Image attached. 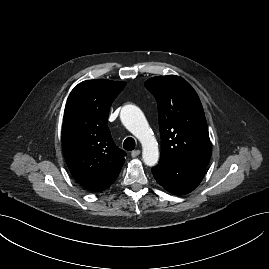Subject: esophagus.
<instances>
[{"mask_svg":"<svg viewBox=\"0 0 269 269\" xmlns=\"http://www.w3.org/2000/svg\"><path fill=\"white\" fill-rule=\"evenodd\" d=\"M140 153H141L140 150H134V151L131 152V156H132L133 158H135V157H137Z\"/></svg>","mask_w":269,"mask_h":269,"instance_id":"1","label":"esophagus"}]
</instances>
